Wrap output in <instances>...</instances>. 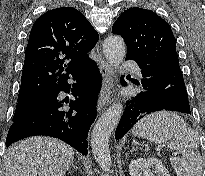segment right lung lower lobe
<instances>
[{
  "label": "right lung lower lobe",
  "instance_id": "1",
  "mask_svg": "<svg viewBox=\"0 0 205 176\" xmlns=\"http://www.w3.org/2000/svg\"><path fill=\"white\" fill-rule=\"evenodd\" d=\"M69 78L77 81L72 93L76 100L65 110L60 91L69 92ZM100 73L92 60L79 72L66 78L39 100L34 102L18 119L13 121L6 138V147L23 138L46 135L61 139L80 153L87 155V136L96 118V98L100 90ZM73 90V89H72ZM68 101H66L67 103Z\"/></svg>",
  "mask_w": 205,
  "mask_h": 176
}]
</instances>
